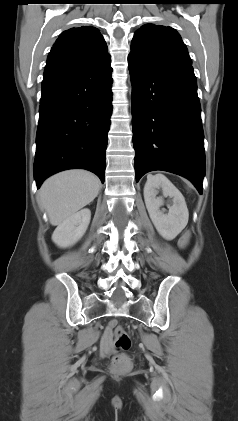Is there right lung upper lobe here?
<instances>
[{"mask_svg": "<svg viewBox=\"0 0 238 421\" xmlns=\"http://www.w3.org/2000/svg\"><path fill=\"white\" fill-rule=\"evenodd\" d=\"M109 61L106 42L98 29L82 26L61 33L48 55L46 67Z\"/></svg>", "mask_w": 238, "mask_h": 421, "instance_id": "obj_1", "label": "right lung upper lobe"}]
</instances>
